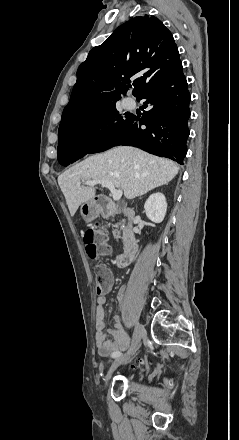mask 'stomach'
I'll list each match as a JSON object with an SVG mask.
<instances>
[{
  "label": "stomach",
  "instance_id": "0dacf381",
  "mask_svg": "<svg viewBox=\"0 0 239 440\" xmlns=\"http://www.w3.org/2000/svg\"><path fill=\"white\" fill-rule=\"evenodd\" d=\"M102 212V206L97 202L96 198H91L88 202H84L80 208V214L85 222H93Z\"/></svg>",
  "mask_w": 239,
  "mask_h": 440
}]
</instances>
